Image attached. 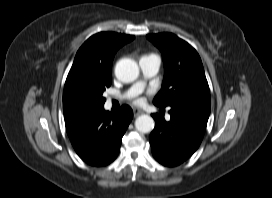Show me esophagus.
Wrapping results in <instances>:
<instances>
[{
	"instance_id": "obj_1",
	"label": "esophagus",
	"mask_w": 272,
	"mask_h": 198,
	"mask_svg": "<svg viewBox=\"0 0 272 198\" xmlns=\"http://www.w3.org/2000/svg\"><path fill=\"white\" fill-rule=\"evenodd\" d=\"M133 113H134V116L137 117V116L143 114L144 112L141 109L133 108Z\"/></svg>"
}]
</instances>
